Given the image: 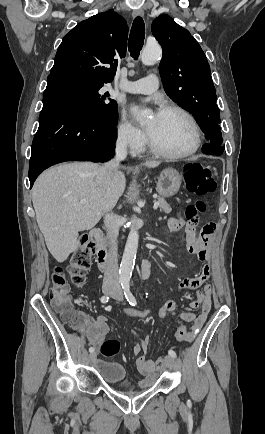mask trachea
<instances>
[{"label":"trachea","mask_w":265,"mask_h":434,"mask_svg":"<svg viewBox=\"0 0 265 434\" xmlns=\"http://www.w3.org/2000/svg\"><path fill=\"white\" fill-rule=\"evenodd\" d=\"M145 38V24L140 16L136 17L131 28L128 49L131 56L137 59L140 55Z\"/></svg>","instance_id":"trachea-1"}]
</instances>
